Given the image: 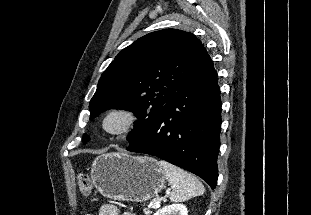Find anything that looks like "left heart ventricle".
<instances>
[{"label":"left heart ventricle","mask_w":311,"mask_h":215,"mask_svg":"<svg viewBox=\"0 0 311 215\" xmlns=\"http://www.w3.org/2000/svg\"><path fill=\"white\" fill-rule=\"evenodd\" d=\"M121 124V119L118 117H113L108 120L107 126L109 128H117Z\"/></svg>","instance_id":"b2bd125f"}]
</instances>
